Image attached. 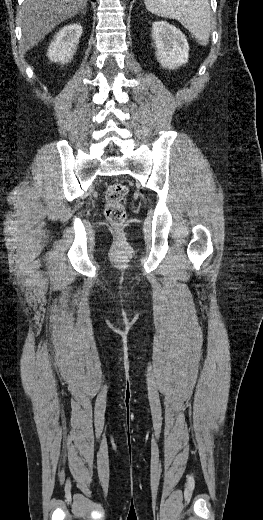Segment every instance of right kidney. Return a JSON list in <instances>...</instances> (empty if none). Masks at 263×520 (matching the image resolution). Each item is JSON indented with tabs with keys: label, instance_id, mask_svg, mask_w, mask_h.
<instances>
[{
	"label": "right kidney",
	"instance_id": "ca27d5eb",
	"mask_svg": "<svg viewBox=\"0 0 263 520\" xmlns=\"http://www.w3.org/2000/svg\"><path fill=\"white\" fill-rule=\"evenodd\" d=\"M82 35L80 23H72L64 26L55 35L48 48V58L52 62L65 64L73 59L79 39Z\"/></svg>",
	"mask_w": 263,
	"mask_h": 520
}]
</instances>
